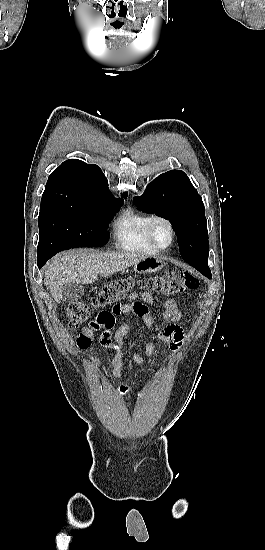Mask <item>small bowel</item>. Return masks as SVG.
I'll return each instance as SVG.
<instances>
[{
    "label": "small bowel",
    "instance_id": "obj_1",
    "mask_svg": "<svg viewBox=\"0 0 265 550\" xmlns=\"http://www.w3.org/2000/svg\"><path fill=\"white\" fill-rule=\"evenodd\" d=\"M138 298H141L146 303H152L154 301V298L152 295L148 293H144L141 296H139L136 293H132L129 296V301L126 303L123 307V313H129V312H135L139 314L143 318V322L145 326L151 330L153 326V319L151 315L149 314L147 306L145 307V310L143 312H139L137 309H135L134 304L137 301ZM164 308V318L171 322H179L182 319V314L179 311L177 304L174 300H168L163 303ZM115 324V320L113 324L109 327H103L101 330L103 333L101 334V341L104 344H110L112 346L114 357L111 361V370L115 377H120L124 365V338L125 336L130 332L131 327L129 325H122L119 327L112 338H109V333L113 329ZM96 334V330L92 329L91 327L84 328L76 337V343L77 346L82 349L86 350L90 347L92 339L94 338ZM183 331L179 326L172 325L164 328L159 334L158 339L161 343L166 344L169 346V349L171 351H177L182 343H183ZM155 352V345L153 342H147L144 346V355L134 352L132 355L133 361L138 365H144L147 360L154 354ZM161 356L166 355V349H161L160 351ZM91 363L94 366H100L101 362L98 358L92 357ZM128 390V386L126 384H122L119 388V391L121 394H125Z\"/></svg>",
    "mask_w": 265,
    "mask_h": 550
}]
</instances>
